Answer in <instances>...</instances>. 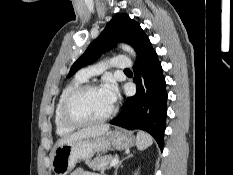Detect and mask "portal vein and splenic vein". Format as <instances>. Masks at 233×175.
I'll list each match as a JSON object with an SVG mask.
<instances>
[{
    "instance_id": "obj_1",
    "label": "portal vein and splenic vein",
    "mask_w": 233,
    "mask_h": 175,
    "mask_svg": "<svg viewBox=\"0 0 233 175\" xmlns=\"http://www.w3.org/2000/svg\"><path fill=\"white\" fill-rule=\"evenodd\" d=\"M119 159L118 158H114L111 162H110V166H114L116 164H118Z\"/></svg>"
}]
</instances>
